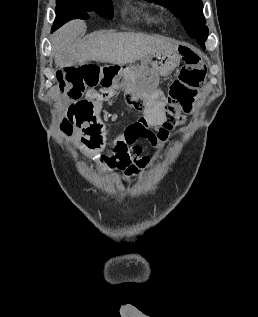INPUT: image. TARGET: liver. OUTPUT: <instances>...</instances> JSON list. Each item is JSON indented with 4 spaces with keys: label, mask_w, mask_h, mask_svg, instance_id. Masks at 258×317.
<instances>
[{
    "label": "liver",
    "mask_w": 258,
    "mask_h": 317,
    "mask_svg": "<svg viewBox=\"0 0 258 317\" xmlns=\"http://www.w3.org/2000/svg\"><path fill=\"white\" fill-rule=\"evenodd\" d=\"M86 28L85 20L77 18L69 20L54 32L52 42L56 66H76L89 60L127 64L141 60L155 50H171L177 46L172 38H158L142 32H98L81 44H75L76 38L83 36Z\"/></svg>",
    "instance_id": "6515ba94"
}]
</instances>
